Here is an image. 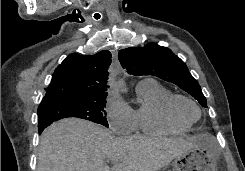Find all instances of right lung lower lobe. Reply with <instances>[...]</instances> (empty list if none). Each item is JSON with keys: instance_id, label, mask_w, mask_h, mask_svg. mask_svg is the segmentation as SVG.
I'll use <instances>...</instances> for the list:
<instances>
[{"instance_id": "98d812e1", "label": "right lung lower lobe", "mask_w": 245, "mask_h": 171, "mask_svg": "<svg viewBox=\"0 0 245 171\" xmlns=\"http://www.w3.org/2000/svg\"><path fill=\"white\" fill-rule=\"evenodd\" d=\"M53 121H50V120H45V121H40L39 124H38V131H39V134L42 133V131L47 127L49 126L50 124H52Z\"/></svg>"}]
</instances>
